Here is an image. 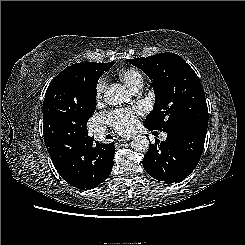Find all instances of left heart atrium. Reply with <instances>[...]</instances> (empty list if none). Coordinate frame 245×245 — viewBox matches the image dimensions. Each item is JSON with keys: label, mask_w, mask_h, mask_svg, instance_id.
I'll use <instances>...</instances> for the list:
<instances>
[{"label": "left heart atrium", "mask_w": 245, "mask_h": 245, "mask_svg": "<svg viewBox=\"0 0 245 245\" xmlns=\"http://www.w3.org/2000/svg\"><path fill=\"white\" fill-rule=\"evenodd\" d=\"M106 121L118 132L127 134L137 125L136 112L131 109H117L105 115Z\"/></svg>", "instance_id": "left-heart-atrium-1"}]
</instances>
